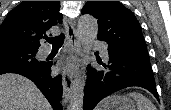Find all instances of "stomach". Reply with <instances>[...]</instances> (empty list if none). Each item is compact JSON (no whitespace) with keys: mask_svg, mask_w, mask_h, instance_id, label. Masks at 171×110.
<instances>
[{"mask_svg":"<svg viewBox=\"0 0 171 110\" xmlns=\"http://www.w3.org/2000/svg\"><path fill=\"white\" fill-rule=\"evenodd\" d=\"M109 101V109L106 110H135V103L126 96H111Z\"/></svg>","mask_w":171,"mask_h":110,"instance_id":"1","label":"stomach"}]
</instances>
